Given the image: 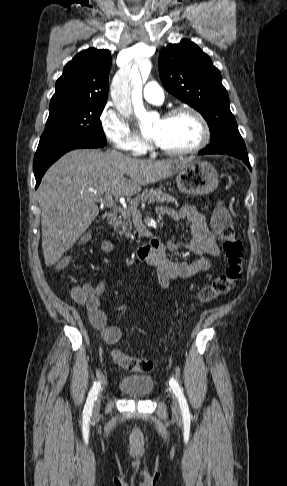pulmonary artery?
<instances>
[{
    "label": "pulmonary artery",
    "mask_w": 287,
    "mask_h": 486,
    "mask_svg": "<svg viewBox=\"0 0 287 486\" xmlns=\"http://www.w3.org/2000/svg\"><path fill=\"white\" fill-rule=\"evenodd\" d=\"M143 97L153 104H161L164 100V93L158 83L148 82L143 89Z\"/></svg>",
    "instance_id": "e3ab8cb5"
}]
</instances>
